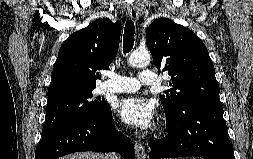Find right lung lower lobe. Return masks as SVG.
I'll return each mask as SVG.
<instances>
[{"mask_svg": "<svg viewBox=\"0 0 253 159\" xmlns=\"http://www.w3.org/2000/svg\"><path fill=\"white\" fill-rule=\"evenodd\" d=\"M111 108L99 117H79L42 134L35 159H57L79 151L120 153L125 159H135L132 141L117 133Z\"/></svg>", "mask_w": 253, "mask_h": 159, "instance_id": "98d812e1", "label": "right lung lower lobe"}]
</instances>
